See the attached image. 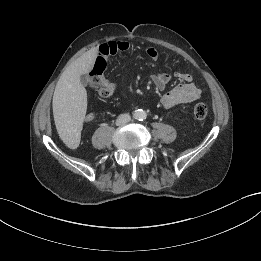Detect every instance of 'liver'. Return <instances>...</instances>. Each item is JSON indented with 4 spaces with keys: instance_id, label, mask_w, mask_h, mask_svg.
Segmentation results:
<instances>
[{
    "instance_id": "obj_1",
    "label": "liver",
    "mask_w": 261,
    "mask_h": 261,
    "mask_svg": "<svg viewBox=\"0 0 261 261\" xmlns=\"http://www.w3.org/2000/svg\"><path fill=\"white\" fill-rule=\"evenodd\" d=\"M98 50H89L62 73L53 94V115L59 136L65 140L79 132L87 110V92L80 76L90 72Z\"/></svg>"
}]
</instances>
